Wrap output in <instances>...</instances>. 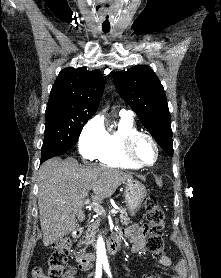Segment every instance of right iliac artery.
<instances>
[{
	"label": "right iliac artery",
	"mask_w": 221,
	"mask_h": 278,
	"mask_svg": "<svg viewBox=\"0 0 221 278\" xmlns=\"http://www.w3.org/2000/svg\"><path fill=\"white\" fill-rule=\"evenodd\" d=\"M102 276V264L96 266V275L95 278H101Z\"/></svg>",
	"instance_id": "82829eb1"
}]
</instances>
